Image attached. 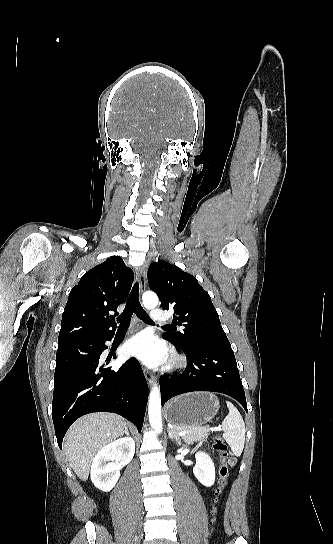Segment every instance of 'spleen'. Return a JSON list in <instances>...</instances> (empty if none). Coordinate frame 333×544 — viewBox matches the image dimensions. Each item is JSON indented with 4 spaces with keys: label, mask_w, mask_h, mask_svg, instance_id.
I'll list each match as a JSON object with an SVG mask.
<instances>
[{
    "label": "spleen",
    "mask_w": 333,
    "mask_h": 544,
    "mask_svg": "<svg viewBox=\"0 0 333 544\" xmlns=\"http://www.w3.org/2000/svg\"><path fill=\"white\" fill-rule=\"evenodd\" d=\"M229 409L228 415L221 426L224 429L223 438L231 447L235 456H240L245 443V424L238 409L231 403L226 402Z\"/></svg>",
    "instance_id": "spleen-1"
}]
</instances>
